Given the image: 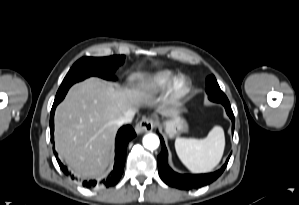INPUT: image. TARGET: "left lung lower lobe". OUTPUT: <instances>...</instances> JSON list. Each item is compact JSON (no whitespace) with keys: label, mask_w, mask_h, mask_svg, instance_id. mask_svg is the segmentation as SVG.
<instances>
[{"label":"left lung lower lobe","mask_w":299,"mask_h":205,"mask_svg":"<svg viewBox=\"0 0 299 205\" xmlns=\"http://www.w3.org/2000/svg\"><path fill=\"white\" fill-rule=\"evenodd\" d=\"M225 109L226 113L232 120V130L234 131L235 118L230 107V103L227 100L219 101ZM161 143H162V151L158 156V170L161 179L170 187H174L181 190H190L197 189L208 185L215 181L224 171L227 166L228 157L226 163L216 172L208 173V174H196V175H187V174H179L174 172L167 163L168 152L165 147L164 140L161 135H159Z\"/></svg>","instance_id":"1"}]
</instances>
